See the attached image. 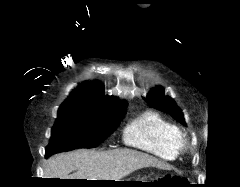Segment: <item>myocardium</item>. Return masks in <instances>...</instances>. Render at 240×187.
Here are the masks:
<instances>
[{"label":"myocardium","mask_w":240,"mask_h":187,"mask_svg":"<svg viewBox=\"0 0 240 187\" xmlns=\"http://www.w3.org/2000/svg\"><path fill=\"white\" fill-rule=\"evenodd\" d=\"M178 146H179V149H184L185 146H186V140L183 136H180L179 139H178Z\"/></svg>","instance_id":"1"}]
</instances>
